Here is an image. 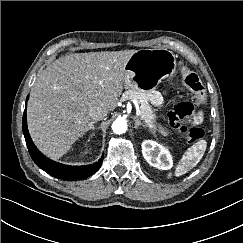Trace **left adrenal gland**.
Segmentation results:
<instances>
[{
    "instance_id": "obj_1",
    "label": "left adrenal gland",
    "mask_w": 243,
    "mask_h": 243,
    "mask_svg": "<svg viewBox=\"0 0 243 243\" xmlns=\"http://www.w3.org/2000/svg\"><path fill=\"white\" fill-rule=\"evenodd\" d=\"M134 121H135V128L137 129L139 126H143L145 127V125L140 121V119L136 116L134 117Z\"/></svg>"
}]
</instances>
